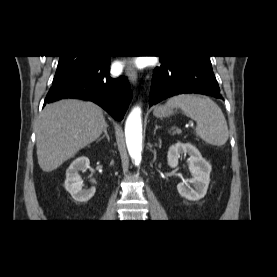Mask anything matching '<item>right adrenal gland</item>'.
<instances>
[{"label": "right adrenal gland", "mask_w": 277, "mask_h": 277, "mask_svg": "<svg viewBox=\"0 0 277 277\" xmlns=\"http://www.w3.org/2000/svg\"><path fill=\"white\" fill-rule=\"evenodd\" d=\"M105 137L107 138L108 141H110V137H109L108 132H107V126L104 129V134L98 139V142L101 141L102 139H104Z\"/></svg>", "instance_id": "right-adrenal-gland-1"}]
</instances>
